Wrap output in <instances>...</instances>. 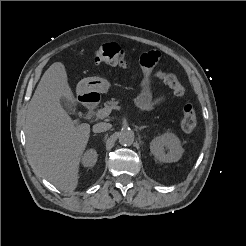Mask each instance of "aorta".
Instances as JSON below:
<instances>
[{
  "mask_svg": "<svg viewBox=\"0 0 246 246\" xmlns=\"http://www.w3.org/2000/svg\"><path fill=\"white\" fill-rule=\"evenodd\" d=\"M121 145H131L134 141V132L131 129H122L118 135Z\"/></svg>",
  "mask_w": 246,
  "mask_h": 246,
  "instance_id": "762f6f07",
  "label": "aorta"
}]
</instances>
